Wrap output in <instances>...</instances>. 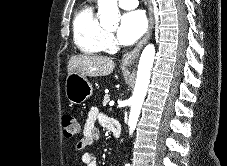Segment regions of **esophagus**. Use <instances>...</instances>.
<instances>
[{
  "instance_id": "1",
  "label": "esophagus",
  "mask_w": 227,
  "mask_h": 166,
  "mask_svg": "<svg viewBox=\"0 0 227 166\" xmlns=\"http://www.w3.org/2000/svg\"><path fill=\"white\" fill-rule=\"evenodd\" d=\"M149 3V26L148 29L143 36V38L140 40V42L134 47L133 50L126 53L122 58V63L124 65L132 64L135 62L140 49L144 46V44L148 41L150 38L153 28H154V19H153V12H152V6H151V0H148Z\"/></svg>"
}]
</instances>
